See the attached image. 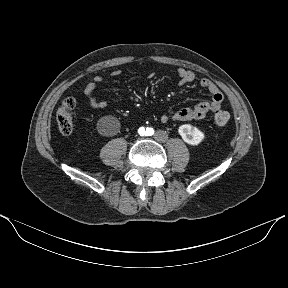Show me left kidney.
<instances>
[{
    "instance_id": "1",
    "label": "left kidney",
    "mask_w": 288,
    "mask_h": 288,
    "mask_svg": "<svg viewBox=\"0 0 288 288\" xmlns=\"http://www.w3.org/2000/svg\"><path fill=\"white\" fill-rule=\"evenodd\" d=\"M178 133L183 141L189 145H198L204 139V133L190 124L181 125Z\"/></svg>"
}]
</instances>
